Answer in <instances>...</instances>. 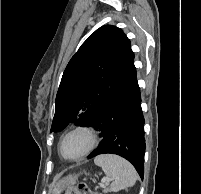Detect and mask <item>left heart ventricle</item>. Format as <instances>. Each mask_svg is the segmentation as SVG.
Here are the masks:
<instances>
[{"label": "left heart ventricle", "mask_w": 201, "mask_h": 194, "mask_svg": "<svg viewBox=\"0 0 201 194\" xmlns=\"http://www.w3.org/2000/svg\"><path fill=\"white\" fill-rule=\"evenodd\" d=\"M89 137L85 133H75L67 137L63 143L62 151L67 157L80 155L88 146Z\"/></svg>", "instance_id": "1"}]
</instances>
